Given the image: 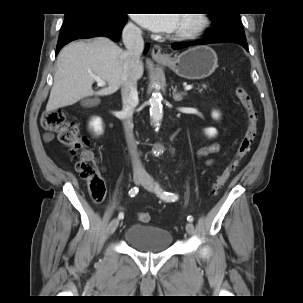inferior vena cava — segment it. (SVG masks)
Instances as JSON below:
<instances>
[{
  "instance_id": "obj_1",
  "label": "inferior vena cava",
  "mask_w": 303,
  "mask_h": 303,
  "mask_svg": "<svg viewBox=\"0 0 303 303\" xmlns=\"http://www.w3.org/2000/svg\"><path fill=\"white\" fill-rule=\"evenodd\" d=\"M122 38L126 47V51L123 54L124 63L121 77V96L124 114L123 125L129 152L132 157L133 172L135 175H143L145 174V170L136 151L132 115L134 108L138 104L136 72L140 64V56L144 49V41L141 29L133 23H128L124 26Z\"/></svg>"
}]
</instances>
